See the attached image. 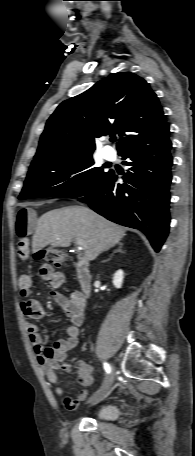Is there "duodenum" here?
I'll return each instance as SVG.
<instances>
[{
    "mask_svg": "<svg viewBox=\"0 0 195 456\" xmlns=\"http://www.w3.org/2000/svg\"><path fill=\"white\" fill-rule=\"evenodd\" d=\"M75 271L77 281L81 288V293L86 299L91 293L92 287V277L89 270L88 261L85 258L80 257L76 263Z\"/></svg>",
    "mask_w": 195,
    "mask_h": 456,
    "instance_id": "obj_1",
    "label": "duodenum"
}]
</instances>
